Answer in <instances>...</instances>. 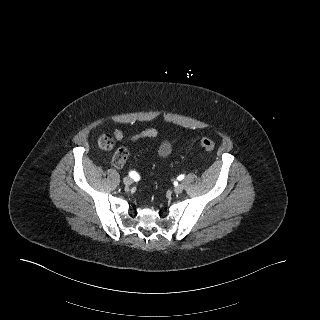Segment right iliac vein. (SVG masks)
Returning <instances> with one entry per match:
<instances>
[{
  "instance_id": "right-iliac-vein-1",
  "label": "right iliac vein",
  "mask_w": 320,
  "mask_h": 320,
  "mask_svg": "<svg viewBox=\"0 0 320 320\" xmlns=\"http://www.w3.org/2000/svg\"><path fill=\"white\" fill-rule=\"evenodd\" d=\"M123 182L125 185H131L133 183V180L127 176L123 179Z\"/></svg>"
}]
</instances>
